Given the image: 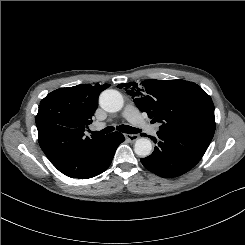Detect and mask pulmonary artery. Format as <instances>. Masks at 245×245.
Masks as SVG:
<instances>
[{
    "mask_svg": "<svg viewBox=\"0 0 245 245\" xmlns=\"http://www.w3.org/2000/svg\"><path fill=\"white\" fill-rule=\"evenodd\" d=\"M123 117L135 126L148 131L150 134L155 135L159 130V125L149 124L138 112V110L133 105H127L123 111ZM104 123H97L94 128H103Z\"/></svg>",
    "mask_w": 245,
    "mask_h": 245,
    "instance_id": "obj_1",
    "label": "pulmonary artery"
}]
</instances>
